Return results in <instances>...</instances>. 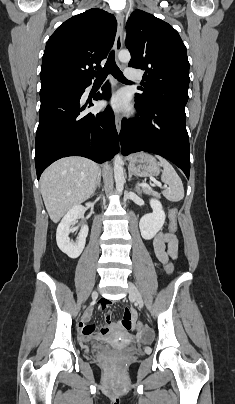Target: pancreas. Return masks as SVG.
Returning <instances> with one entry per match:
<instances>
[{
    "instance_id": "obj_1",
    "label": "pancreas",
    "mask_w": 235,
    "mask_h": 404,
    "mask_svg": "<svg viewBox=\"0 0 235 404\" xmlns=\"http://www.w3.org/2000/svg\"><path fill=\"white\" fill-rule=\"evenodd\" d=\"M143 192L147 194H152L155 197H160V195L157 192L151 191L149 189L143 188Z\"/></svg>"
}]
</instances>
